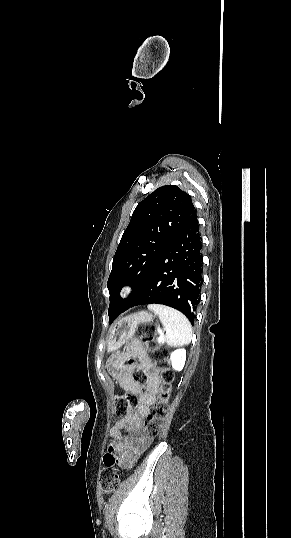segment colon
I'll return each instance as SVG.
<instances>
[{"label":"colon","instance_id":"1","mask_svg":"<svg viewBox=\"0 0 291 538\" xmlns=\"http://www.w3.org/2000/svg\"><path fill=\"white\" fill-rule=\"evenodd\" d=\"M138 332L140 339L148 346V356L151 362L160 370V378L164 385L158 400L145 420V431L154 438L160 433L163 421L168 414L169 397L165 390L166 386L172 382L173 375L166 366L165 351L159 348L155 342V327L150 324H143L139 326ZM126 364L134 368L132 373L134 381L140 385H145L148 377L144 371L136 367L138 364L137 359L130 357L127 359ZM136 402L135 396L130 393L125 392L116 395L114 400L115 414L119 417L129 414L132 412ZM116 462L115 455L108 451L104 457L105 467L99 476L100 488L104 493L110 494L118 487L119 474L115 469Z\"/></svg>","mask_w":291,"mask_h":538}]
</instances>
